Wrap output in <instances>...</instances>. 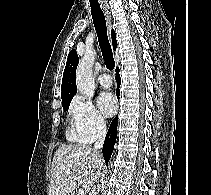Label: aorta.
Instances as JSON below:
<instances>
[{"label":"aorta","instance_id":"1","mask_svg":"<svg viewBox=\"0 0 211 195\" xmlns=\"http://www.w3.org/2000/svg\"><path fill=\"white\" fill-rule=\"evenodd\" d=\"M95 54L87 52L80 60L76 71V85L78 91L85 96H92L94 94L95 82L93 78V64Z\"/></svg>","mask_w":211,"mask_h":195}]
</instances>
